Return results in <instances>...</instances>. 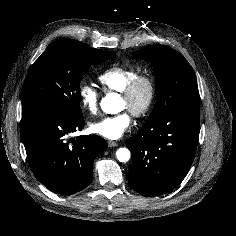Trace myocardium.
I'll return each instance as SVG.
<instances>
[{"label":"myocardium","mask_w":236,"mask_h":236,"mask_svg":"<svg viewBox=\"0 0 236 236\" xmlns=\"http://www.w3.org/2000/svg\"><path fill=\"white\" fill-rule=\"evenodd\" d=\"M142 86L146 88L147 92L144 103L141 106L129 111L134 117L137 118L145 116L149 113L155 103L157 96V85L155 78L148 73L137 74L120 92L121 98L131 101Z\"/></svg>","instance_id":"myocardium-1"}]
</instances>
